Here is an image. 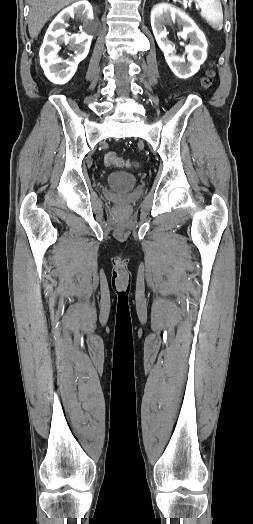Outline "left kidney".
<instances>
[{
    "mask_svg": "<svg viewBox=\"0 0 253 524\" xmlns=\"http://www.w3.org/2000/svg\"><path fill=\"white\" fill-rule=\"evenodd\" d=\"M170 22H176L183 28L179 33L181 37H188L190 39V44L186 46L188 63H185V59L175 54L174 48L168 40V32L164 28V25ZM151 26L157 44L163 51L165 59L173 73L179 78L184 79L193 76L199 70L200 65L205 61L207 56V41L205 35L196 26L194 21L173 5L160 3L155 5L151 11Z\"/></svg>",
    "mask_w": 253,
    "mask_h": 524,
    "instance_id": "obj_1",
    "label": "left kidney"
}]
</instances>
